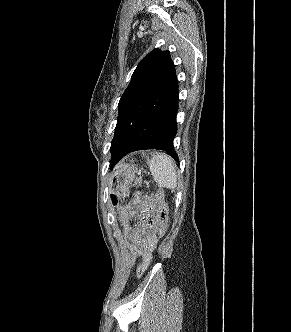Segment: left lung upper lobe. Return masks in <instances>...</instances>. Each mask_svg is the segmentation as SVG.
<instances>
[{
  "mask_svg": "<svg viewBox=\"0 0 291 332\" xmlns=\"http://www.w3.org/2000/svg\"><path fill=\"white\" fill-rule=\"evenodd\" d=\"M175 75L169 51L153 49L138 64L118 105V118L110 151L112 156L132 136L151 99L156 97Z\"/></svg>",
  "mask_w": 291,
  "mask_h": 332,
  "instance_id": "obj_1",
  "label": "left lung upper lobe"
}]
</instances>
